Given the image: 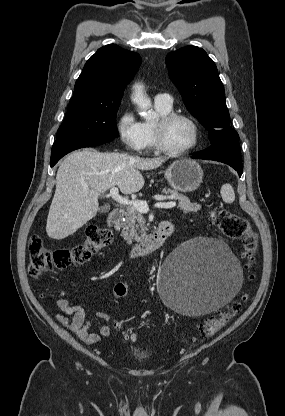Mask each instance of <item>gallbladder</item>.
Masks as SVG:
<instances>
[{
	"instance_id": "gallbladder-1",
	"label": "gallbladder",
	"mask_w": 285,
	"mask_h": 416,
	"mask_svg": "<svg viewBox=\"0 0 285 416\" xmlns=\"http://www.w3.org/2000/svg\"><path fill=\"white\" fill-rule=\"evenodd\" d=\"M110 206L106 204V206H100L98 212H101V214H106V212H109Z\"/></svg>"
}]
</instances>
